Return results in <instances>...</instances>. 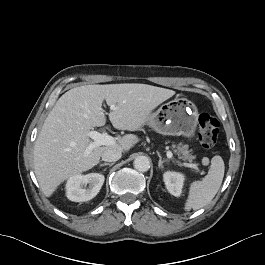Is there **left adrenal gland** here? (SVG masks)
Returning a JSON list of instances; mask_svg holds the SVG:
<instances>
[{
  "mask_svg": "<svg viewBox=\"0 0 265 265\" xmlns=\"http://www.w3.org/2000/svg\"><path fill=\"white\" fill-rule=\"evenodd\" d=\"M157 154H158V157H159L158 167H159V169H162L163 168V163L169 162V160L168 159L162 160V157H161L160 153L158 152Z\"/></svg>",
  "mask_w": 265,
  "mask_h": 265,
  "instance_id": "obj_1",
  "label": "left adrenal gland"
}]
</instances>
